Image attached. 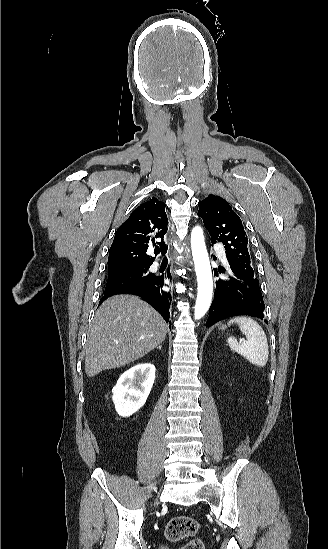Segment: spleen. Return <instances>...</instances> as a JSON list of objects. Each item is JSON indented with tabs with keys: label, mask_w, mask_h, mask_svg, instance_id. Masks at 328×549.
Returning <instances> with one entry per match:
<instances>
[{
	"label": "spleen",
	"mask_w": 328,
	"mask_h": 549,
	"mask_svg": "<svg viewBox=\"0 0 328 549\" xmlns=\"http://www.w3.org/2000/svg\"><path fill=\"white\" fill-rule=\"evenodd\" d=\"M239 325L243 335H246V343H237L235 337H229L227 343L234 353H238L256 367H265L268 361L269 349L267 337L260 325L251 317H234L228 325Z\"/></svg>",
	"instance_id": "3e777b00"
}]
</instances>
